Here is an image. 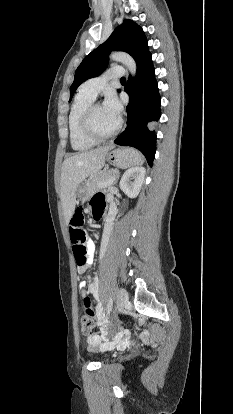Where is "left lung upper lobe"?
<instances>
[{
    "mask_svg": "<svg viewBox=\"0 0 233 414\" xmlns=\"http://www.w3.org/2000/svg\"><path fill=\"white\" fill-rule=\"evenodd\" d=\"M125 51L136 61L137 66L150 55L145 34L132 20H124L105 43L89 53L76 69L74 81L70 87L71 101L78 86L89 78L100 75L107 66L111 51Z\"/></svg>",
    "mask_w": 233,
    "mask_h": 414,
    "instance_id": "obj_1",
    "label": "left lung upper lobe"
}]
</instances>
